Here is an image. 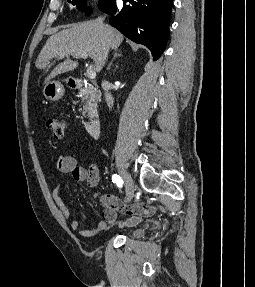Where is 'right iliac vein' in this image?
<instances>
[{
	"mask_svg": "<svg viewBox=\"0 0 255 287\" xmlns=\"http://www.w3.org/2000/svg\"><path fill=\"white\" fill-rule=\"evenodd\" d=\"M122 177L125 183V190H126V202H130L134 196L135 185L134 181L131 176L124 170H121Z\"/></svg>",
	"mask_w": 255,
	"mask_h": 287,
	"instance_id": "1",
	"label": "right iliac vein"
}]
</instances>
